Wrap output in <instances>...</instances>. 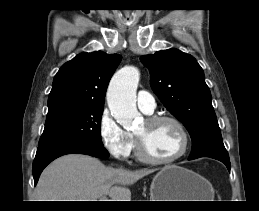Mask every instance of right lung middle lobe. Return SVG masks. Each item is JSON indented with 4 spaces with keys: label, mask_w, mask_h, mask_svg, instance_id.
Segmentation results:
<instances>
[{
    "label": "right lung middle lobe",
    "mask_w": 259,
    "mask_h": 211,
    "mask_svg": "<svg viewBox=\"0 0 259 211\" xmlns=\"http://www.w3.org/2000/svg\"><path fill=\"white\" fill-rule=\"evenodd\" d=\"M102 113L103 108H83L46 120L38 147L67 141L102 147Z\"/></svg>",
    "instance_id": "1"
}]
</instances>
